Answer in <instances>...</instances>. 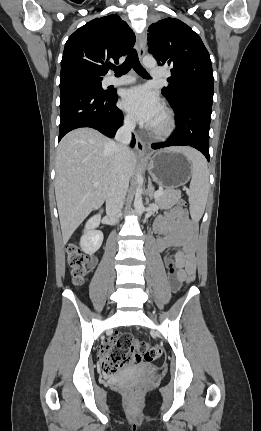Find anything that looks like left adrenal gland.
<instances>
[{
  "instance_id": "left-adrenal-gland-1",
  "label": "left adrenal gland",
  "mask_w": 261,
  "mask_h": 431,
  "mask_svg": "<svg viewBox=\"0 0 261 431\" xmlns=\"http://www.w3.org/2000/svg\"><path fill=\"white\" fill-rule=\"evenodd\" d=\"M153 193H154V187L152 186V182L150 178L148 179V189H147V195L150 197V199H153ZM146 202L148 203L149 200L146 198Z\"/></svg>"
}]
</instances>
